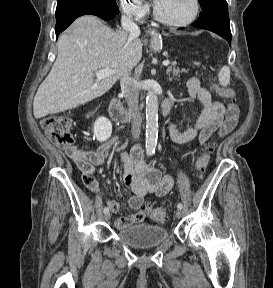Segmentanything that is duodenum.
<instances>
[{
  "label": "duodenum",
  "mask_w": 273,
  "mask_h": 288,
  "mask_svg": "<svg viewBox=\"0 0 273 288\" xmlns=\"http://www.w3.org/2000/svg\"><path fill=\"white\" fill-rule=\"evenodd\" d=\"M170 100L166 99L163 102V114L167 115L170 109ZM109 114L112 119L118 122L126 123L132 120V114L125 111L117 98H112L109 105Z\"/></svg>",
  "instance_id": "obj_1"
}]
</instances>
